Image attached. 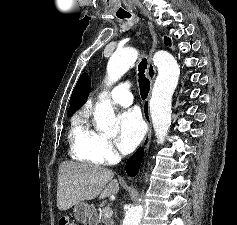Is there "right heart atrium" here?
<instances>
[{"label":"right heart atrium","instance_id":"obj_1","mask_svg":"<svg viewBox=\"0 0 237 225\" xmlns=\"http://www.w3.org/2000/svg\"><path fill=\"white\" fill-rule=\"evenodd\" d=\"M96 157L101 163L112 164L118 159V154L112 141L104 135L98 134L93 143Z\"/></svg>","mask_w":237,"mask_h":225}]
</instances>
